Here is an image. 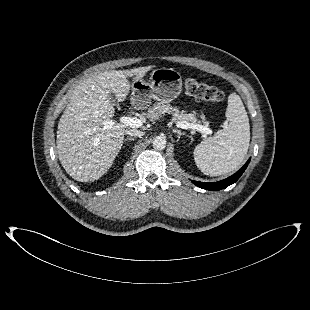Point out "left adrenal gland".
I'll list each match as a JSON object with an SVG mask.
<instances>
[{
	"instance_id": "obj_1",
	"label": "left adrenal gland",
	"mask_w": 310,
	"mask_h": 310,
	"mask_svg": "<svg viewBox=\"0 0 310 310\" xmlns=\"http://www.w3.org/2000/svg\"><path fill=\"white\" fill-rule=\"evenodd\" d=\"M173 132L176 133L177 136H178L177 141H179V140H180V137L183 136V135L188 136V135H186V133L181 132L180 130H177V129H173ZM188 137H190V136H188Z\"/></svg>"
}]
</instances>
